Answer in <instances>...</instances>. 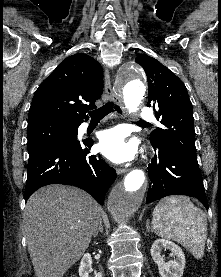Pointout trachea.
<instances>
[{
    "label": "trachea",
    "mask_w": 221,
    "mask_h": 277,
    "mask_svg": "<svg viewBox=\"0 0 221 277\" xmlns=\"http://www.w3.org/2000/svg\"><path fill=\"white\" fill-rule=\"evenodd\" d=\"M113 107L115 110H117L119 113H121V109L118 105H115L113 102H108L102 107L98 108L97 110L89 112V115L91 116L92 119H102L106 115H108L110 112H112ZM140 122H144L141 121Z\"/></svg>",
    "instance_id": "3493384b"
}]
</instances>
